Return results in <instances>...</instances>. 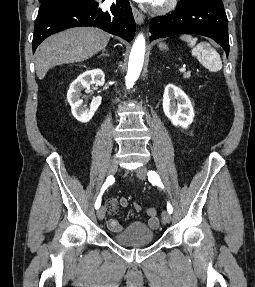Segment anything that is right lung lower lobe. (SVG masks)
I'll use <instances>...</instances> for the list:
<instances>
[{
  "instance_id": "obj_1",
  "label": "right lung lower lobe",
  "mask_w": 255,
  "mask_h": 287,
  "mask_svg": "<svg viewBox=\"0 0 255 287\" xmlns=\"http://www.w3.org/2000/svg\"><path fill=\"white\" fill-rule=\"evenodd\" d=\"M79 26L98 27L127 41L136 30L128 0H116L106 12L99 8V2L51 6L39 11L35 21L33 52L48 36Z\"/></svg>"
}]
</instances>
